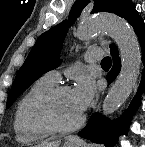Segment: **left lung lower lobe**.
Here are the masks:
<instances>
[{
  "label": "left lung lower lobe",
  "mask_w": 145,
  "mask_h": 147,
  "mask_svg": "<svg viewBox=\"0 0 145 147\" xmlns=\"http://www.w3.org/2000/svg\"><path fill=\"white\" fill-rule=\"evenodd\" d=\"M125 18L134 28L143 53V64L145 66V24L139 17L135 6L131 3L123 14ZM110 51L113 59V67L107 75L108 83L110 84L121 69V62L118 56V50L115 45L110 46ZM145 89V68L143 70L142 81L140 84V92ZM138 103V97L131 103L129 109L119 119L110 122L104 116L95 113L84 129L79 132V136L88 139L94 143H101L107 147H112L119 134L126 133L130 114L135 110Z\"/></svg>",
  "instance_id": "0a47b994"
}]
</instances>
